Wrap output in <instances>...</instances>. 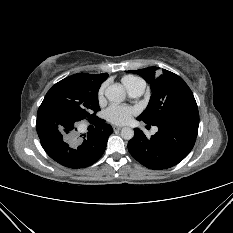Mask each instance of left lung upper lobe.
<instances>
[{"label": "left lung upper lobe", "mask_w": 233, "mask_h": 233, "mask_svg": "<svg viewBox=\"0 0 233 233\" xmlns=\"http://www.w3.org/2000/svg\"><path fill=\"white\" fill-rule=\"evenodd\" d=\"M157 67L131 70L151 85L153 92L145 111L138 117L145 123L157 125L174 117L198 110L192 91L178 75Z\"/></svg>", "instance_id": "obj_1"}]
</instances>
